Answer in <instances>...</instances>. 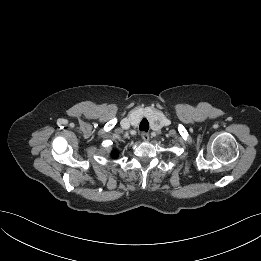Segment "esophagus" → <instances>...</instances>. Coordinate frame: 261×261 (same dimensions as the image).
Masks as SVG:
<instances>
[{
	"instance_id": "esophagus-1",
	"label": "esophagus",
	"mask_w": 261,
	"mask_h": 261,
	"mask_svg": "<svg viewBox=\"0 0 261 261\" xmlns=\"http://www.w3.org/2000/svg\"><path fill=\"white\" fill-rule=\"evenodd\" d=\"M141 138L143 141L147 142L149 140V134L146 132L141 133Z\"/></svg>"
}]
</instances>
